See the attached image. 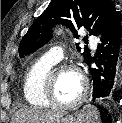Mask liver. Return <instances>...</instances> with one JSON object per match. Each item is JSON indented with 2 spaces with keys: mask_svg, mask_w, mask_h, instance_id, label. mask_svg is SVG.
Returning a JSON list of instances; mask_svg holds the SVG:
<instances>
[{
  "mask_svg": "<svg viewBox=\"0 0 122 123\" xmlns=\"http://www.w3.org/2000/svg\"><path fill=\"white\" fill-rule=\"evenodd\" d=\"M63 114L64 111L23 108L14 114L12 123H54Z\"/></svg>",
  "mask_w": 122,
  "mask_h": 123,
  "instance_id": "obj_1",
  "label": "liver"
}]
</instances>
